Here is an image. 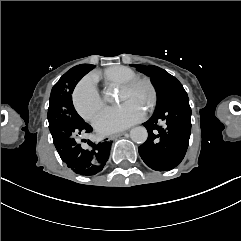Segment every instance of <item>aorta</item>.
<instances>
[{
    "mask_svg": "<svg viewBox=\"0 0 241 241\" xmlns=\"http://www.w3.org/2000/svg\"><path fill=\"white\" fill-rule=\"evenodd\" d=\"M104 100L107 102L114 101V90L107 88L104 90ZM130 138L133 142L143 144L148 138L147 129L143 126L134 127L130 131Z\"/></svg>",
    "mask_w": 241,
    "mask_h": 241,
    "instance_id": "aorta-1",
    "label": "aorta"
}]
</instances>
